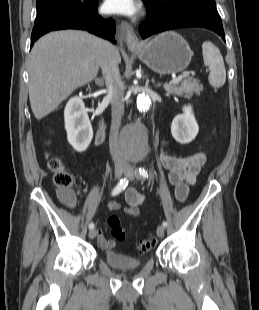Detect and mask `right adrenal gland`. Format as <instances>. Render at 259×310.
<instances>
[{
  "label": "right adrenal gland",
  "mask_w": 259,
  "mask_h": 310,
  "mask_svg": "<svg viewBox=\"0 0 259 310\" xmlns=\"http://www.w3.org/2000/svg\"><path fill=\"white\" fill-rule=\"evenodd\" d=\"M95 82H96V84L97 85H99L100 87H102V86H104V80H103V78H97V79H95Z\"/></svg>",
  "instance_id": "2a0ac1e0"
}]
</instances>
